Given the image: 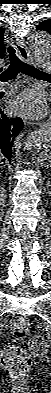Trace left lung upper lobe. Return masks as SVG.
<instances>
[{
  "label": "left lung upper lobe",
  "mask_w": 51,
  "mask_h": 393,
  "mask_svg": "<svg viewBox=\"0 0 51 393\" xmlns=\"http://www.w3.org/2000/svg\"><path fill=\"white\" fill-rule=\"evenodd\" d=\"M39 31H46L51 34V19L45 20L36 26Z\"/></svg>",
  "instance_id": "obj_1"
}]
</instances>
